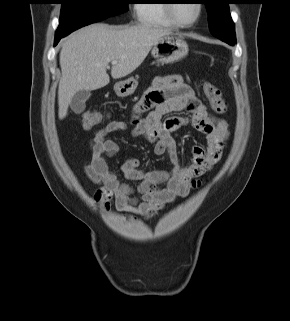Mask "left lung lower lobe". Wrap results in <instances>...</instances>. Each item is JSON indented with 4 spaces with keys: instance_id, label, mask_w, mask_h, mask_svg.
Here are the masks:
<instances>
[{
    "instance_id": "left-lung-lower-lobe-1",
    "label": "left lung lower lobe",
    "mask_w": 290,
    "mask_h": 321,
    "mask_svg": "<svg viewBox=\"0 0 290 321\" xmlns=\"http://www.w3.org/2000/svg\"><path fill=\"white\" fill-rule=\"evenodd\" d=\"M220 40L226 42L227 44L233 46L236 43V37L232 36V37H220Z\"/></svg>"
}]
</instances>
